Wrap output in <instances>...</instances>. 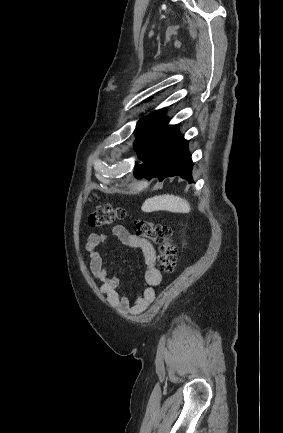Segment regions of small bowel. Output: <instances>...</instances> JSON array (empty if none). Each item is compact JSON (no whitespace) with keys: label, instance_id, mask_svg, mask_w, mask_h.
<instances>
[{"label":"small bowel","instance_id":"small-bowel-1","mask_svg":"<svg viewBox=\"0 0 283 433\" xmlns=\"http://www.w3.org/2000/svg\"><path fill=\"white\" fill-rule=\"evenodd\" d=\"M124 246L139 249L145 262L144 279L147 287L131 305L129 299L118 292L120 285L118 276H111L101 253L97 250L107 236L103 233H90L85 245L90 256V270L96 281L100 283V291L106 296L108 304L122 315H138L142 313L154 300V287L159 285L162 279L161 273L156 265V251L153 245L142 238L131 234L124 226L117 225L111 231Z\"/></svg>","mask_w":283,"mask_h":433}]
</instances>
